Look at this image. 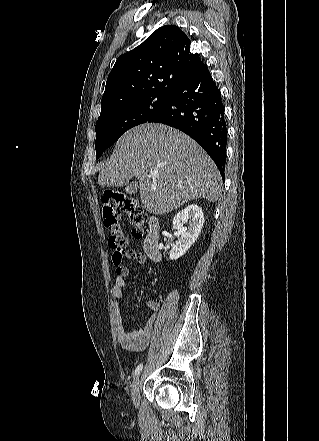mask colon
<instances>
[{
	"label": "colon",
	"mask_w": 319,
	"mask_h": 441,
	"mask_svg": "<svg viewBox=\"0 0 319 441\" xmlns=\"http://www.w3.org/2000/svg\"><path fill=\"white\" fill-rule=\"evenodd\" d=\"M120 210L129 219L132 234L140 238L143 234L146 215L137 202L127 195L118 191H107L102 196L103 224L109 231L108 245L113 250L112 259L118 265L126 255L127 237L120 225Z\"/></svg>",
	"instance_id": "1"
}]
</instances>
